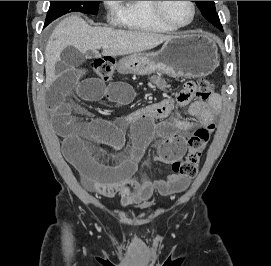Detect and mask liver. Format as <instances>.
Here are the masks:
<instances>
[{
    "instance_id": "liver-1",
    "label": "liver",
    "mask_w": 271,
    "mask_h": 266,
    "mask_svg": "<svg viewBox=\"0 0 271 266\" xmlns=\"http://www.w3.org/2000/svg\"><path fill=\"white\" fill-rule=\"evenodd\" d=\"M173 36L152 32L115 30L91 27L82 18L72 15L62 20L53 30L45 50L46 88L57 79L54 62L61 59L62 51L73 46L88 56L92 51L105 46L103 56H121L151 50Z\"/></svg>"
}]
</instances>
